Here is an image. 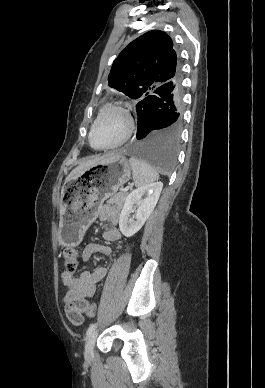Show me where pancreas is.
Listing matches in <instances>:
<instances>
[{"label":"pancreas","instance_id":"1","mask_svg":"<svg viewBox=\"0 0 265 388\" xmlns=\"http://www.w3.org/2000/svg\"><path fill=\"white\" fill-rule=\"evenodd\" d=\"M127 194L126 192H118V194H114V196H107L109 200H107V204H118V206H122Z\"/></svg>","mask_w":265,"mask_h":388}]
</instances>
